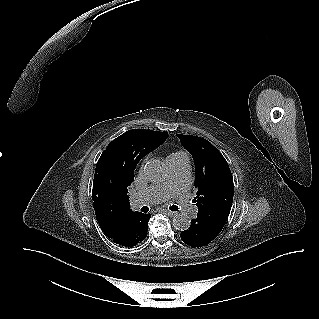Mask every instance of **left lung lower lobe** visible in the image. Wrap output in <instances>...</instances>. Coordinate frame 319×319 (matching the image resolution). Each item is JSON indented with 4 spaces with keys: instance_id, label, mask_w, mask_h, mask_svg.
<instances>
[{
    "instance_id": "0a47b994",
    "label": "left lung lower lobe",
    "mask_w": 319,
    "mask_h": 319,
    "mask_svg": "<svg viewBox=\"0 0 319 319\" xmlns=\"http://www.w3.org/2000/svg\"><path fill=\"white\" fill-rule=\"evenodd\" d=\"M230 210H198L197 218L192 219L190 227L181 232V239L187 245L201 247L209 244L220 233L228 219Z\"/></svg>"
}]
</instances>
